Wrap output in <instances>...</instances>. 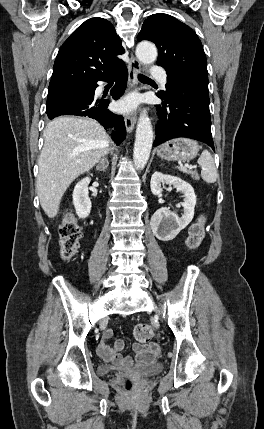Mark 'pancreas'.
<instances>
[{
  "mask_svg": "<svg viewBox=\"0 0 264 429\" xmlns=\"http://www.w3.org/2000/svg\"><path fill=\"white\" fill-rule=\"evenodd\" d=\"M190 174L192 175L193 178L195 179L198 178V173L196 171H190Z\"/></svg>",
  "mask_w": 264,
  "mask_h": 429,
  "instance_id": "pancreas-1",
  "label": "pancreas"
}]
</instances>
